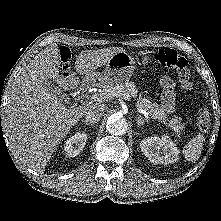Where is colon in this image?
<instances>
[{
	"mask_svg": "<svg viewBox=\"0 0 221 221\" xmlns=\"http://www.w3.org/2000/svg\"><path fill=\"white\" fill-rule=\"evenodd\" d=\"M70 52L68 49L63 48L60 51L62 68L68 66L70 60ZM155 60L164 67L173 68L177 72L178 80L182 88L186 91H191L193 85L191 82V74L188 69V62L184 56L179 54L176 50L171 48H162L155 53ZM161 86L163 92L174 91V84L168 77L161 79ZM198 128L201 132H207L211 127L210 114L207 109L202 108L198 112Z\"/></svg>",
	"mask_w": 221,
	"mask_h": 221,
	"instance_id": "5ec220e1",
	"label": "colon"
}]
</instances>
